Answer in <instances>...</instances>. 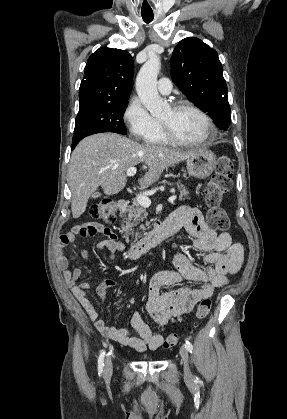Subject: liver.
Here are the masks:
<instances>
[{"mask_svg": "<svg viewBox=\"0 0 287 419\" xmlns=\"http://www.w3.org/2000/svg\"><path fill=\"white\" fill-rule=\"evenodd\" d=\"M197 150L179 151L140 144L114 133L84 138L72 152L68 166L73 218L86 210L89 197L101 187L106 195L120 192L127 183L126 172L140 163L148 171L138 183L146 188L156 182L163 170L187 160Z\"/></svg>", "mask_w": 287, "mask_h": 419, "instance_id": "6515ba94", "label": "liver"}]
</instances>
